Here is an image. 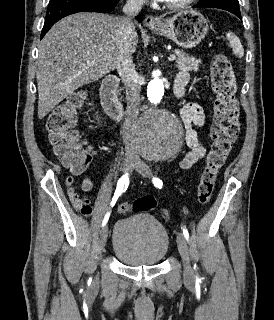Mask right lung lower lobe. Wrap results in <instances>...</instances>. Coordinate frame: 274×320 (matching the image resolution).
Here are the masks:
<instances>
[{
    "mask_svg": "<svg viewBox=\"0 0 274 320\" xmlns=\"http://www.w3.org/2000/svg\"><path fill=\"white\" fill-rule=\"evenodd\" d=\"M119 0H56L49 3L45 17L41 38L58 20L77 12H111ZM138 22H142V16L136 17Z\"/></svg>",
    "mask_w": 274,
    "mask_h": 320,
    "instance_id": "98d812e1",
    "label": "right lung lower lobe"
}]
</instances>
